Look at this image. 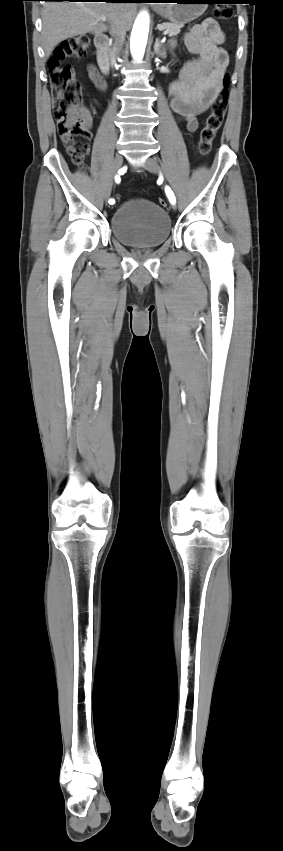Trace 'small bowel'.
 <instances>
[{"instance_id":"small-bowel-1","label":"small bowel","mask_w":283,"mask_h":851,"mask_svg":"<svg viewBox=\"0 0 283 851\" xmlns=\"http://www.w3.org/2000/svg\"><path fill=\"white\" fill-rule=\"evenodd\" d=\"M225 40L223 30L212 18L194 25L184 37L186 48L196 58L183 66L169 92L171 109L189 132L197 130V116L211 107L222 90L229 64L228 53L223 47ZM87 71L97 93L102 94L110 87V82L95 66L89 65ZM64 145L68 153L75 149L74 143ZM89 149L88 144L87 151Z\"/></svg>"}]
</instances>
